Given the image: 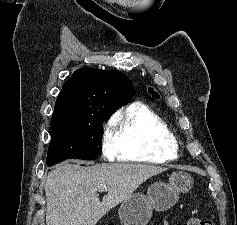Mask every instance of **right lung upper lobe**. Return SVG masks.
<instances>
[{
  "instance_id": "right-lung-upper-lobe-1",
  "label": "right lung upper lobe",
  "mask_w": 237,
  "mask_h": 225,
  "mask_svg": "<svg viewBox=\"0 0 237 225\" xmlns=\"http://www.w3.org/2000/svg\"><path fill=\"white\" fill-rule=\"evenodd\" d=\"M134 95V86L122 72L80 68L63 84L52 119L92 120L103 111L115 112Z\"/></svg>"
}]
</instances>
